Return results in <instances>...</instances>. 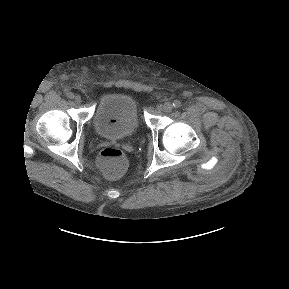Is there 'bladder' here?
<instances>
[{"label":"bladder","instance_id":"1","mask_svg":"<svg viewBox=\"0 0 289 289\" xmlns=\"http://www.w3.org/2000/svg\"><path fill=\"white\" fill-rule=\"evenodd\" d=\"M93 127L97 135L109 140L130 139L139 129L136 101L124 93H109L98 103Z\"/></svg>","mask_w":289,"mask_h":289}]
</instances>
